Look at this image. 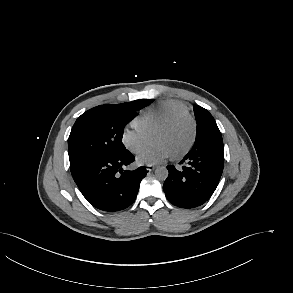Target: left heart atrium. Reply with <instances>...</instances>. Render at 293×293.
I'll return each instance as SVG.
<instances>
[{"instance_id": "left-heart-atrium-1", "label": "left heart atrium", "mask_w": 293, "mask_h": 293, "mask_svg": "<svg viewBox=\"0 0 293 293\" xmlns=\"http://www.w3.org/2000/svg\"><path fill=\"white\" fill-rule=\"evenodd\" d=\"M172 153L163 143H155L144 149L137 156V163L140 165H155L170 158Z\"/></svg>"}]
</instances>
